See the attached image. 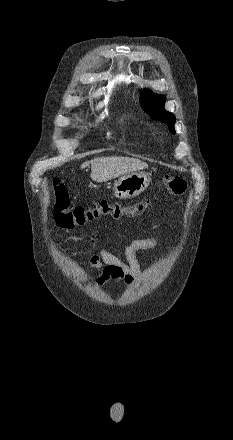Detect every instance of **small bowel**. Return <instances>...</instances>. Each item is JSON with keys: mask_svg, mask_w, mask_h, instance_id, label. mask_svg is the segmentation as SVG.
<instances>
[{"mask_svg": "<svg viewBox=\"0 0 233 440\" xmlns=\"http://www.w3.org/2000/svg\"><path fill=\"white\" fill-rule=\"evenodd\" d=\"M95 235L89 236V249L95 245ZM158 243L157 237L133 241L125 250V260L119 258L107 249L101 247L98 254L89 257V263L96 269H101L102 273L92 280L96 286H103L108 281L113 280L122 282L125 286H130L135 278L142 277L138 259V251L153 249Z\"/></svg>", "mask_w": 233, "mask_h": 440, "instance_id": "c3829d8e", "label": "small bowel"}]
</instances>
